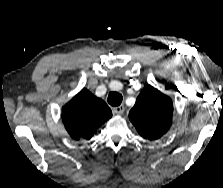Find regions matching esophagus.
Masks as SVG:
<instances>
[{
  "mask_svg": "<svg viewBox=\"0 0 223 188\" xmlns=\"http://www.w3.org/2000/svg\"><path fill=\"white\" fill-rule=\"evenodd\" d=\"M124 110H125V108H124L123 105H120V106H117V107L113 108V112L117 115L123 114Z\"/></svg>",
  "mask_w": 223,
  "mask_h": 188,
  "instance_id": "34e87169",
  "label": "esophagus"
}]
</instances>
